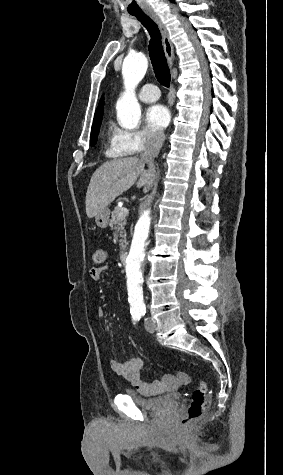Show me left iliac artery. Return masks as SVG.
<instances>
[{"label": "left iliac artery", "mask_w": 283, "mask_h": 475, "mask_svg": "<svg viewBox=\"0 0 283 475\" xmlns=\"http://www.w3.org/2000/svg\"><path fill=\"white\" fill-rule=\"evenodd\" d=\"M145 313H146V311L143 310V311H141L139 314H140L141 316H144Z\"/></svg>", "instance_id": "left-iliac-artery-1"}]
</instances>
